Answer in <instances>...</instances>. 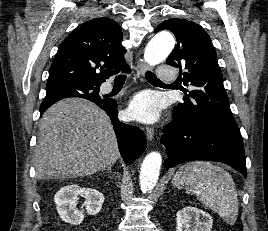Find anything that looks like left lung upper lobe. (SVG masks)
<instances>
[{"label": "left lung upper lobe", "mask_w": 268, "mask_h": 231, "mask_svg": "<svg viewBox=\"0 0 268 231\" xmlns=\"http://www.w3.org/2000/svg\"><path fill=\"white\" fill-rule=\"evenodd\" d=\"M164 29L173 32L177 40L166 63L179 67L180 82L191 87L190 91L184 90L186 96L173 114L185 121L215 124L240 134L209 35L198 24L178 18L165 20L155 32Z\"/></svg>", "instance_id": "left-lung-upper-lobe-1"}]
</instances>
